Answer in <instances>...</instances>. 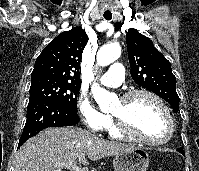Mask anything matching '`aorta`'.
Returning a JSON list of instances; mask_svg holds the SVG:
<instances>
[{"label": "aorta", "instance_id": "762f6f07", "mask_svg": "<svg viewBox=\"0 0 199 171\" xmlns=\"http://www.w3.org/2000/svg\"><path fill=\"white\" fill-rule=\"evenodd\" d=\"M120 54L121 48L118 44L105 45L101 47L97 53V64L100 66H107L117 60L120 57ZM92 94L101 110L108 109L115 99L114 94L98 85L92 87Z\"/></svg>", "mask_w": 199, "mask_h": 171}]
</instances>
